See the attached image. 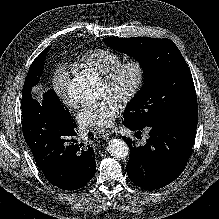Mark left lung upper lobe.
I'll list each match as a JSON object with an SVG mask.
<instances>
[{"instance_id": "obj_1", "label": "left lung upper lobe", "mask_w": 219, "mask_h": 219, "mask_svg": "<svg viewBox=\"0 0 219 219\" xmlns=\"http://www.w3.org/2000/svg\"><path fill=\"white\" fill-rule=\"evenodd\" d=\"M103 41L132 56L144 71V84L126 107L124 120L137 126H147L198 116L190 69L171 40L108 37Z\"/></svg>"}]
</instances>
